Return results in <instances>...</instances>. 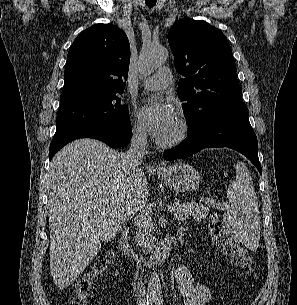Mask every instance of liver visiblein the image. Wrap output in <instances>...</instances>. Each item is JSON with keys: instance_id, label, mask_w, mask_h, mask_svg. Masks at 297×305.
Wrapping results in <instances>:
<instances>
[{"instance_id": "obj_1", "label": "liver", "mask_w": 297, "mask_h": 305, "mask_svg": "<svg viewBox=\"0 0 297 305\" xmlns=\"http://www.w3.org/2000/svg\"><path fill=\"white\" fill-rule=\"evenodd\" d=\"M123 159L124 153L85 138L63 147L50 163V272L61 290L96 257L101 241L111 240L133 216L131 203L147 201L143 170L131 174Z\"/></svg>"}]
</instances>
